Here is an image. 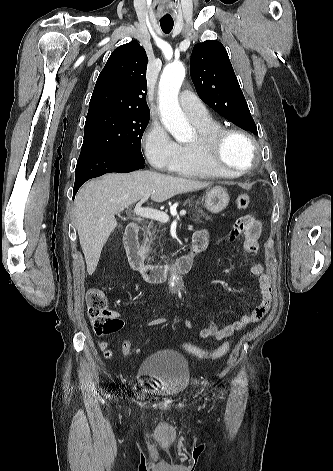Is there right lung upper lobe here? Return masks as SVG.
<instances>
[{
	"label": "right lung upper lobe",
	"instance_id": "right-lung-upper-lobe-1",
	"mask_svg": "<svg viewBox=\"0 0 333 471\" xmlns=\"http://www.w3.org/2000/svg\"><path fill=\"white\" fill-rule=\"evenodd\" d=\"M147 55L136 42L116 48L97 79L87 117L110 112L149 114Z\"/></svg>",
	"mask_w": 333,
	"mask_h": 471
}]
</instances>
